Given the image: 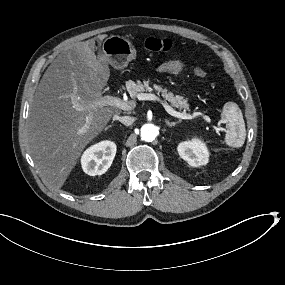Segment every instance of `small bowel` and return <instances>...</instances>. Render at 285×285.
Here are the masks:
<instances>
[{"mask_svg":"<svg viewBox=\"0 0 285 285\" xmlns=\"http://www.w3.org/2000/svg\"><path fill=\"white\" fill-rule=\"evenodd\" d=\"M163 72H170L173 74H180L184 70V65L180 61H170L160 67Z\"/></svg>","mask_w":285,"mask_h":285,"instance_id":"obj_1","label":"small bowel"}]
</instances>
